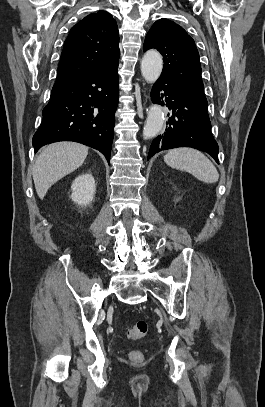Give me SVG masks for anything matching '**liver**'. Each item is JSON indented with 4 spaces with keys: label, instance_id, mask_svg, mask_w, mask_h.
I'll return each instance as SVG.
<instances>
[{
    "label": "liver",
    "instance_id": "liver-1",
    "mask_svg": "<svg viewBox=\"0 0 265 407\" xmlns=\"http://www.w3.org/2000/svg\"><path fill=\"white\" fill-rule=\"evenodd\" d=\"M88 155V147L76 142H57L42 149L33 168L37 195L43 199L57 181L79 168Z\"/></svg>",
    "mask_w": 265,
    "mask_h": 407
}]
</instances>
